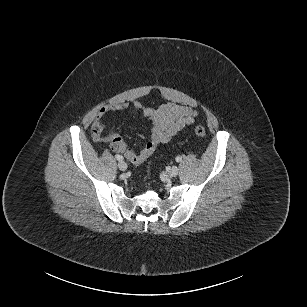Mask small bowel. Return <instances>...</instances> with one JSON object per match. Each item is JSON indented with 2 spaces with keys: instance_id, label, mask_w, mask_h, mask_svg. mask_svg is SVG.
I'll return each mask as SVG.
<instances>
[{
  "instance_id": "small-bowel-1",
  "label": "small bowel",
  "mask_w": 307,
  "mask_h": 307,
  "mask_svg": "<svg viewBox=\"0 0 307 307\" xmlns=\"http://www.w3.org/2000/svg\"><path fill=\"white\" fill-rule=\"evenodd\" d=\"M128 108V103L102 107L92 123V138L97 142L107 140V137L103 135L106 115L112 111H122ZM132 111L134 114L142 113L152 123L151 133L140 152L135 153L126 145L123 150L118 151L133 164L143 163L157 150L160 144L167 143L177 134L183 133L188 126L195 122L198 115L193 108L173 102L162 104L157 108L143 107L140 103H134Z\"/></svg>"
}]
</instances>
